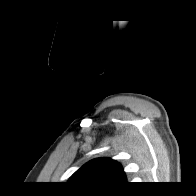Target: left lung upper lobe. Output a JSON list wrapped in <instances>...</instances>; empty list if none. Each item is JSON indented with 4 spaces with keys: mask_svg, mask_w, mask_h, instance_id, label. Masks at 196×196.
<instances>
[{
    "mask_svg": "<svg viewBox=\"0 0 196 196\" xmlns=\"http://www.w3.org/2000/svg\"><path fill=\"white\" fill-rule=\"evenodd\" d=\"M68 183L85 188H109L127 182L123 168L118 162L109 158H98L76 171Z\"/></svg>",
    "mask_w": 196,
    "mask_h": 196,
    "instance_id": "left-lung-upper-lobe-1",
    "label": "left lung upper lobe"
}]
</instances>
